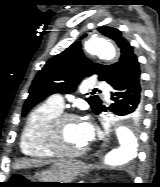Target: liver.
<instances>
[{
  "label": "liver",
  "instance_id": "liver-1",
  "mask_svg": "<svg viewBox=\"0 0 160 187\" xmlns=\"http://www.w3.org/2000/svg\"><path fill=\"white\" fill-rule=\"evenodd\" d=\"M49 162H54V161H41V160H36V159H24L14 165L15 169H20V168H31V167H37V166H42L44 164H48Z\"/></svg>",
  "mask_w": 160,
  "mask_h": 187
}]
</instances>
